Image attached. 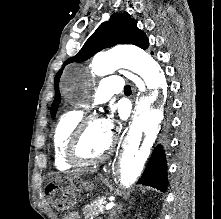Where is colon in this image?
I'll list each match as a JSON object with an SVG mask.
<instances>
[{
  "label": "colon",
  "instance_id": "colon-1",
  "mask_svg": "<svg viewBox=\"0 0 221 219\" xmlns=\"http://www.w3.org/2000/svg\"><path fill=\"white\" fill-rule=\"evenodd\" d=\"M65 192V189L63 187V185L60 183V182H54V183H51L48 185L47 187V194L50 195V199L51 201L53 202V204L58 207V208H61V209H69L70 208V205L69 203H61L59 202L58 200V197L63 193ZM66 199H67V202L70 201L71 199V196L70 194H66Z\"/></svg>",
  "mask_w": 221,
  "mask_h": 219
}]
</instances>
